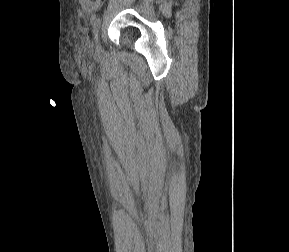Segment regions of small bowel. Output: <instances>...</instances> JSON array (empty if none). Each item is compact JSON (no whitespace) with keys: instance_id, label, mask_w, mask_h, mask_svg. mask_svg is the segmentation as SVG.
Here are the masks:
<instances>
[{"instance_id":"small-bowel-1","label":"small bowel","mask_w":289,"mask_h":252,"mask_svg":"<svg viewBox=\"0 0 289 252\" xmlns=\"http://www.w3.org/2000/svg\"><path fill=\"white\" fill-rule=\"evenodd\" d=\"M80 4L82 10L90 14L96 12L101 7L102 0H80Z\"/></svg>"}]
</instances>
